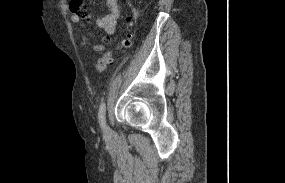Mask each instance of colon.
I'll use <instances>...</instances> for the list:
<instances>
[{
    "label": "colon",
    "mask_w": 285,
    "mask_h": 183,
    "mask_svg": "<svg viewBox=\"0 0 285 183\" xmlns=\"http://www.w3.org/2000/svg\"><path fill=\"white\" fill-rule=\"evenodd\" d=\"M71 10L73 12H79L80 9L76 7H72ZM131 25V17H127L126 19V26L129 27ZM131 44V35L126 33L124 37L117 43V45L109 50L104 52L100 58L94 64V70L96 73L101 74L103 73L106 68L112 64L113 62V54L117 51H123L127 49Z\"/></svg>",
    "instance_id": "5ec220e1"
}]
</instances>
